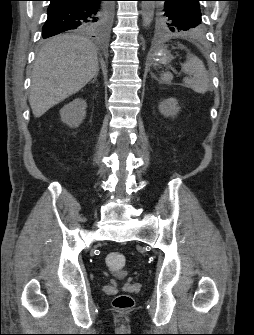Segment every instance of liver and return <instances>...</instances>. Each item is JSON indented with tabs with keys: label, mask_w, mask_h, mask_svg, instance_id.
<instances>
[{
	"label": "liver",
	"mask_w": 254,
	"mask_h": 335,
	"mask_svg": "<svg viewBox=\"0 0 254 335\" xmlns=\"http://www.w3.org/2000/svg\"><path fill=\"white\" fill-rule=\"evenodd\" d=\"M98 71L92 41L73 34L50 39L39 51L32 71L29 103L34 117L78 92Z\"/></svg>",
	"instance_id": "obj_1"
}]
</instances>
